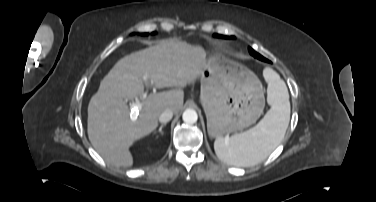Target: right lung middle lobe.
Here are the masks:
<instances>
[{
  "label": "right lung middle lobe",
  "instance_id": "obj_1",
  "mask_svg": "<svg viewBox=\"0 0 376 202\" xmlns=\"http://www.w3.org/2000/svg\"><path fill=\"white\" fill-rule=\"evenodd\" d=\"M153 34H155V33H153ZM141 35H148V33H144V34H141Z\"/></svg>",
  "mask_w": 376,
  "mask_h": 202
}]
</instances>
